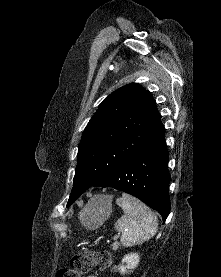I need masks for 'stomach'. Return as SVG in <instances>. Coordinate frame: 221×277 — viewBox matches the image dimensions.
Returning a JSON list of instances; mask_svg holds the SVG:
<instances>
[{
	"label": "stomach",
	"instance_id": "0dacf381",
	"mask_svg": "<svg viewBox=\"0 0 221 277\" xmlns=\"http://www.w3.org/2000/svg\"><path fill=\"white\" fill-rule=\"evenodd\" d=\"M111 212V201L106 198L93 199L80 213L82 224L89 230L99 228Z\"/></svg>",
	"mask_w": 221,
	"mask_h": 277
}]
</instances>
